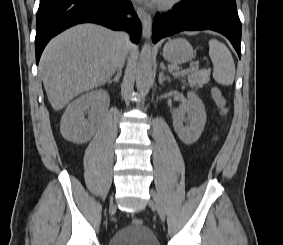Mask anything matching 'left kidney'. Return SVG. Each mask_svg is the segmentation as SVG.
I'll use <instances>...</instances> for the list:
<instances>
[{"instance_id":"5707ae66","label":"left kidney","mask_w":283,"mask_h":245,"mask_svg":"<svg viewBox=\"0 0 283 245\" xmlns=\"http://www.w3.org/2000/svg\"><path fill=\"white\" fill-rule=\"evenodd\" d=\"M188 113V117H185ZM173 127L180 140L187 145L195 143L206 123V111L201 99L194 93H187V100L172 113ZM188 120L189 126H184Z\"/></svg>"}]
</instances>
